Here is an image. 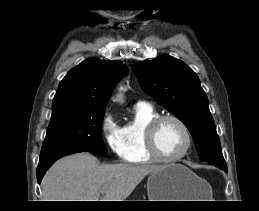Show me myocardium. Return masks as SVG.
I'll use <instances>...</instances> for the list:
<instances>
[{
	"instance_id": "f54148a6",
	"label": "myocardium",
	"mask_w": 259,
	"mask_h": 211,
	"mask_svg": "<svg viewBox=\"0 0 259 211\" xmlns=\"http://www.w3.org/2000/svg\"><path fill=\"white\" fill-rule=\"evenodd\" d=\"M167 120H172L176 122L183 130L186 136V146L184 150L174 157L164 156L158 146H157V131L160 125ZM145 145L148 153L152 156L154 160L162 162H176L183 159L191 150L193 145V137L187 124L178 116L173 114L158 115L145 128Z\"/></svg>"
}]
</instances>
